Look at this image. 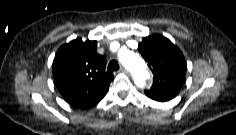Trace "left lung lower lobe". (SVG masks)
I'll list each match as a JSON object with an SVG mask.
<instances>
[{
	"mask_svg": "<svg viewBox=\"0 0 236 135\" xmlns=\"http://www.w3.org/2000/svg\"><path fill=\"white\" fill-rule=\"evenodd\" d=\"M179 91H164V92H157V93H150V92H145V94L156 101H168L172 98H174Z\"/></svg>",
	"mask_w": 236,
	"mask_h": 135,
	"instance_id": "obj_1",
	"label": "left lung lower lobe"
}]
</instances>
